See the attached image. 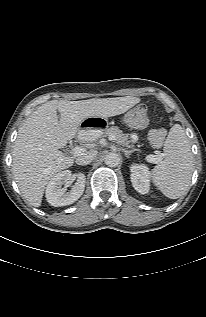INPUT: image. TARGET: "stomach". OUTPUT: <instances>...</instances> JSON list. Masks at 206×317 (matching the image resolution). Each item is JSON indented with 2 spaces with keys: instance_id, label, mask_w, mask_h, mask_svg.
<instances>
[{
  "instance_id": "1",
  "label": "stomach",
  "mask_w": 206,
  "mask_h": 317,
  "mask_svg": "<svg viewBox=\"0 0 206 317\" xmlns=\"http://www.w3.org/2000/svg\"><path fill=\"white\" fill-rule=\"evenodd\" d=\"M118 124V119L113 114H108L103 117L93 116L84 118L79 123V137H85L89 140H94L99 137L100 133L115 128Z\"/></svg>"
}]
</instances>
